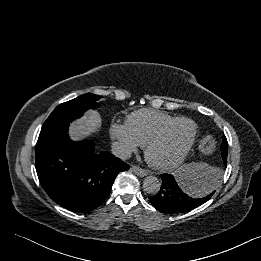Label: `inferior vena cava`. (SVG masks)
<instances>
[{
  "label": "inferior vena cava",
  "mask_w": 261,
  "mask_h": 261,
  "mask_svg": "<svg viewBox=\"0 0 261 261\" xmlns=\"http://www.w3.org/2000/svg\"><path fill=\"white\" fill-rule=\"evenodd\" d=\"M112 154L123 160L130 158L131 150L124 144L120 142H114L112 144Z\"/></svg>",
  "instance_id": "602c4592"
}]
</instances>
